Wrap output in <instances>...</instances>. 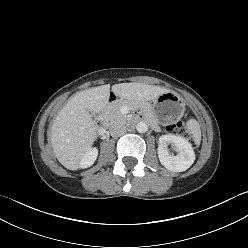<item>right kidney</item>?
Listing matches in <instances>:
<instances>
[{"mask_svg": "<svg viewBox=\"0 0 248 248\" xmlns=\"http://www.w3.org/2000/svg\"><path fill=\"white\" fill-rule=\"evenodd\" d=\"M97 156L98 150L96 148H91L90 150H88L80 163L81 168H87L93 165Z\"/></svg>", "mask_w": 248, "mask_h": 248, "instance_id": "1", "label": "right kidney"}]
</instances>
